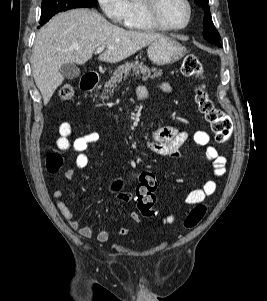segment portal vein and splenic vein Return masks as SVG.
<instances>
[{
	"mask_svg": "<svg viewBox=\"0 0 267 301\" xmlns=\"http://www.w3.org/2000/svg\"><path fill=\"white\" fill-rule=\"evenodd\" d=\"M105 48L104 47H99L96 50V53H101Z\"/></svg>",
	"mask_w": 267,
	"mask_h": 301,
	"instance_id": "1",
	"label": "portal vein and splenic vein"
}]
</instances>
